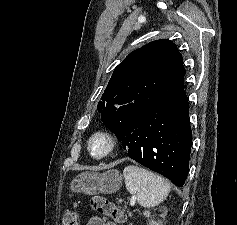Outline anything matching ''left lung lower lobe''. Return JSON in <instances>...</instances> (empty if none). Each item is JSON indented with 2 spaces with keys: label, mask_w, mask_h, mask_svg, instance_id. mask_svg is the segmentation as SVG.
Listing matches in <instances>:
<instances>
[{
  "label": "left lung lower lobe",
  "mask_w": 237,
  "mask_h": 225,
  "mask_svg": "<svg viewBox=\"0 0 237 225\" xmlns=\"http://www.w3.org/2000/svg\"><path fill=\"white\" fill-rule=\"evenodd\" d=\"M181 91L134 115L116 135L128 156L182 187L189 171L192 132Z\"/></svg>",
  "instance_id": "left-lung-lower-lobe-1"
}]
</instances>
